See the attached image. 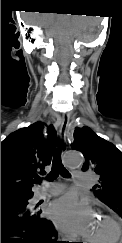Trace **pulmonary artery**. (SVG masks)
Returning <instances> with one entry per match:
<instances>
[{
  "label": "pulmonary artery",
  "instance_id": "pulmonary-artery-1",
  "mask_svg": "<svg viewBox=\"0 0 122 243\" xmlns=\"http://www.w3.org/2000/svg\"><path fill=\"white\" fill-rule=\"evenodd\" d=\"M74 174L76 176L77 181L82 184L86 183L87 181H89L91 179V174L88 172H83V171L77 170V171H74ZM63 189H64V186L61 184H56L51 187L43 188L36 194V198L42 199V198H46L51 195L59 194L63 191Z\"/></svg>",
  "mask_w": 122,
  "mask_h": 243
}]
</instances>
